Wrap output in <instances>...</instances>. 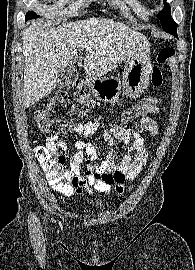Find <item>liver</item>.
I'll list each match as a JSON object with an SVG mask.
<instances>
[{
    "instance_id": "liver-1",
    "label": "liver",
    "mask_w": 195,
    "mask_h": 270,
    "mask_svg": "<svg viewBox=\"0 0 195 270\" xmlns=\"http://www.w3.org/2000/svg\"><path fill=\"white\" fill-rule=\"evenodd\" d=\"M22 39L23 105L27 108L56 88L59 69L74 65L78 50H85V73L103 77L130 57L146 37L123 23L93 17L59 27L32 22Z\"/></svg>"
}]
</instances>
